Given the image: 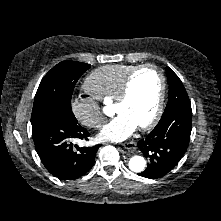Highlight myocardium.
Returning <instances> with one entry per match:
<instances>
[{"label": "myocardium", "instance_id": "f54148a6", "mask_svg": "<svg viewBox=\"0 0 221 221\" xmlns=\"http://www.w3.org/2000/svg\"><path fill=\"white\" fill-rule=\"evenodd\" d=\"M146 69H153L158 73L160 80H161V88H160V94H159V98L157 102L156 111L153 117L148 122L138 126L140 130H148V129L153 128L158 123V121L160 120L163 114L164 103H165V98H166V90H167V79H166L164 72L157 65H154V64H144V65L137 66L126 77L123 83L122 89L118 97L115 100V105H120L124 103L130 96L131 86H132L135 76L139 72L146 70Z\"/></svg>", "mask_w": 221, "mask_h": 221}]
</instances>
